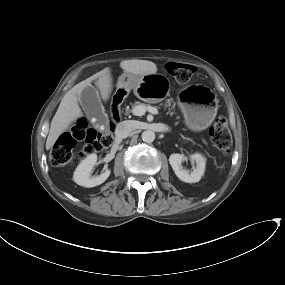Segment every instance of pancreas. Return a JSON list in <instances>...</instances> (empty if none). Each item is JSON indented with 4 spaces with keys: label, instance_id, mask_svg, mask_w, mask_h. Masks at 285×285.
I'll use <instances>...</instances> for the list:
<instances>
[{
    "label": "pancreas",
    "instance_id": "cf45deb5",
    "mask_svg": "<svg viewBox=\"0 0 285 285\" xmlns=\"http://www.w3.org/2000/svg\"><path fill=\"white\" fill-rule=\"evenodd\" d=\"M138 105H144V106H150V105H145L144 103H140V102H135L133 105H132V110L130 111H126V113H129V112H132L133 113V109L138 106ZM165 106L166 107H171V109H174L175 107V104H173V100L172 99H168L165 103Z\"/></svg>",
    "mask_w": 285,
    "mask_h": 285
}]
</instances>
